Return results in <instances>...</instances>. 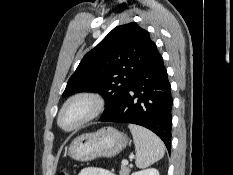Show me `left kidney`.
<instances>
[{
    "label": "left kidney",
    "mask_w": 233,
    "mask_h": 175,
    "mask_svg": "<svg viewBox=\"0 0 233 175\" xmlns=\"http://www.w3.org/2000/svg\"><path fill=\"white\" fill-rule=\"evenodd\" d=\"M131 175H159V172L155 168H148L145 170H140L138 172H134Z\"/></svg>",
    "instance_id": "left-kidney-1"
}]
</instances>
